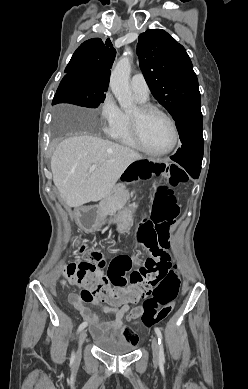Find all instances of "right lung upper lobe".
Masks as SVG:
<instances>
[{"mask_svg":"<svg viewBox=\"0 0 248 389\" xmlns=\"http://www.w3.org/2000/svg\"><path fill=\"white\" fill-rule=\"evenodd\" d=\"M116 50L110 39H89L74 52L65 72L83 73L86 80L94 85L108 88L110 69L114 62Z\"/></svg>","mask_w":248,"mask_h":389,"instance_id":"cb5924a9","label":"right lung upper lobe"}]
</instances>
